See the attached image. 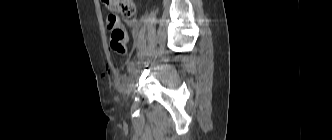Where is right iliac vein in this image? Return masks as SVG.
I'll return each mask as SVG.
<instances>
[{
    "label": "right iliac vein",
    "mask_w": 332,
    "mask_h": 140,
    "mask_svg": "<svg viewBox=\"0 0 332 140\" xmlns=\"http://www.w3.org/2000/svg\"><path fill=\"white\" fill-rule=\"evenodd\" d=\"M135 75H136V70L135 69H132L131 71H130V80H131V82H130V84H129V86H128V90H127V94L129 95L130 93H131V91H132V88H133V79H134V77H135Z\"/></svg>",
    "instance_id": "1"
}]
</instances>
